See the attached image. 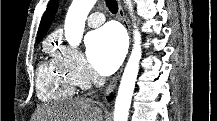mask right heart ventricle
Here are the masks:
<instances>
[{"instance_id":"1","label":"right heart ventricle","mask_w":217,"mask_h":121,"mask_svg":"<svg viewBox=\"0 0 217 121\" xmlns=\"http://www.w3.org/2000/svg\"><path fill=\"white\" fill-rule=\"evenodd\" d=\"M75 80L57 58L43 62L37 71L38 98L44 102L61 101L75 93Z\"/></svg>"}]
</instances>
